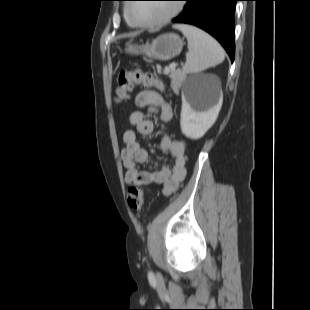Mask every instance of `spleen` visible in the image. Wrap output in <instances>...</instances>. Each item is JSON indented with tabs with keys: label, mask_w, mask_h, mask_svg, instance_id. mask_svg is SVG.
<instances>
[{
	"label": "spleen",
	"mask_w": 310,
	"mask_h": 310,
	"mask_svg": "<svg viewBox=\"0 0 310 310\" xmlns=\"http://www.w3.org/2000/svg\"><path fill=\"white\" fill-rule=\"evenodd\" d=\"M174 28L180 30L188 42L187 60L182 69L184 74L198 73L224 61L223 48L205 31L187 24H178Z\"/></svg>",
	"instance_id": "spleen-1"
}]
</instances>
